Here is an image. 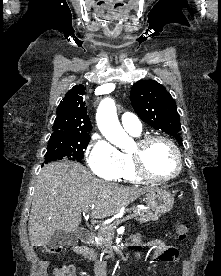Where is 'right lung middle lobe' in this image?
Returning <instances> with one entry per match:
<instances>
[{
	"instance_id": "dd1d6c3e",
	"label": "right lung middle lobe",
	"mask_w": 221,
	"mask_h": 276,
	"mask_svg": "<svg viewBox=\"0 0 221 276\" xmlns=\"http://www.w3.org/2000/svg\"><path fill=\"white\" fill-rule=\"evenodd\" d=\"M90 141L89 135L74 138H50L44 163L57 160L81 161Z\"/></svg>"
}]
</instances>
